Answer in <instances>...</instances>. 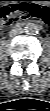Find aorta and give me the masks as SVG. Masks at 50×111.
Segmentation results:
<instances>
[{"label": "aorta", "instance_id": "obj_1", "mask_svg": "<svg viewBox=\"0 0 50 111\" xmlns=\"http://www.w3.org/2000/svg\"><path fill=\"white\" fill-rule=\"evenodd\" d=\"M24 30L27 34L35 35L39 32V26L33 22H29L24 27Z\"/></svg>", "mask_w": 50, "mask_h": 111}]
</instances>
